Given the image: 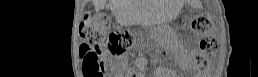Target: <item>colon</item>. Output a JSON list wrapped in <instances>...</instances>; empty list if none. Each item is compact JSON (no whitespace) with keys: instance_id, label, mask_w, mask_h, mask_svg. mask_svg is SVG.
<instances>
[{"instance_id":"obj_1","label":"colon","mask_w":258,"mask_h":77,"mask_svg":"<svg viewBox=\"0 0 258 77\" xmlns=\"http://www.w3.org/2000/svg\"><path fill=\"white\" fill-rule=\"evenodd\" d=\"M193 30L200 36V50L206 57L216 54L218 43L212 35L213 25L206 14L192 20ZM80 53L83 58L85 77H99L102 74L100 53L106 47L112 53L126 51L133 42V35L126 30L110 31V19L103 14L89 15L81 27Z\"/></svg>"}]
</instances>
